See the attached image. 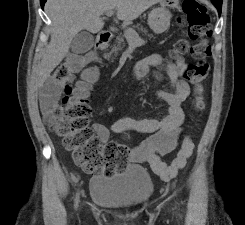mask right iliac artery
I'll use <instances>...</instances> for the list:
<instances>
[{
	"instance_id": "obj_1",
	"label": "right iliac artery",
	"mask_w": 245,
	"mask_h": 225,
	"mask_svg": "<svg viewBox=\"0 0 245 225\" xmlns=\"http://www.w3.org/2000/svg\"><path fill=\"white\" fill-rule=\"evenodd\" d=\"M75 201H76V205H77V203H78V201H79V196H76Z\"/></svg>"
}]
</instances>
